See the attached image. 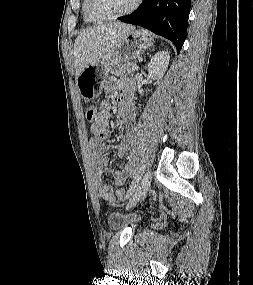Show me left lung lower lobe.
I'll return each instance as SVG.
<instances>
[{"instance_id":"left-lung-lower-lobe-1","label":"left lung lower lobe","mask_w":253,"mask_h":285,"mask_svg":"<svg viewBox=\"0 0 253 285\" xmlns=\"http://www.w3.org/2000/svg\"><path fill=\"white\" fill-rule=\"evenodd\" d=\"M191 0H145L133 14L119 17L171 40L179 53L187 33Z\"/></svg>"}]
</instances>
